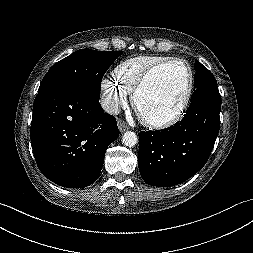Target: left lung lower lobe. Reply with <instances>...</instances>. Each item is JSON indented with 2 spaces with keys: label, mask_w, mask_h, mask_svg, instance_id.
I'll list each match as a JSON object with an SVG mask.
<instances>
[{
  "label": "left lung lower lobe",
  "mask_w": 253,
  "mask_h": 253,
  "mask_svg": "<svg viewBox=\"0 0 253 253\" xmlns=\"http://www.w3.org/2000/svg\"><path fill=\"white\" fill-rule=\"evenodd\" d=\"M221 100L191 104L184 118L169 128L140 132L138 166L153 186L178 185L207 162L220 128Z\"/></svg>",
  "instance_id": "1"
}]
</instances>
